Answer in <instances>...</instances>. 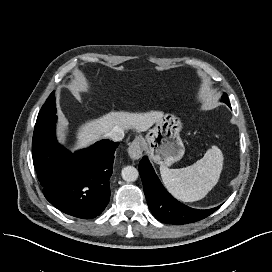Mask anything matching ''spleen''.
Returning a JSON list of instances; mask_svg holds the SVG:
<instances>
[{
	"label": "spleen",
	"mask_w": 272,
	"mask_h": 272,
	"mask_svg": "<svg viewBox=\"0 0 272 272\" xmlns=\"http://www.w3.org/2000/svg\"><path fill=\"white\" fill-rule=\"evenodd\" d=\"M223 154L213 146L203 158L193 165L169 169L160 166L162 181L167 190L178 200L194 202L204 198L217 184L223 168Z\"/></svg>",
	"instance_id": "obj_1"
}]
</instances>
